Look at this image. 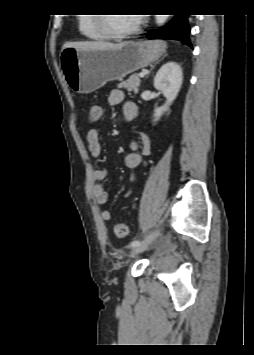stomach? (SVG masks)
<instances>
[{
    "mask_svg": "<svg viewBox=\"0 0 254 355\" xmlns=\"http://www.w3.org/2000/svg\"><path fill=\"white\" fill-rule=\"evenodd\" d=\"M166 51L164 41L125 42L113 49L79 50L62 49L60 64L70 88L89 94L108 81L126 75L156 62Z\"/></svg>",
    "mask_w": 254,
    "mask_h": 355,
    "instance_id": "obj_1",
    "label": "stomach"
}]
</instances>
